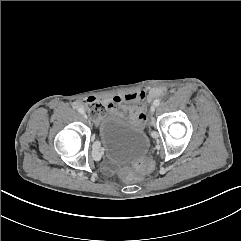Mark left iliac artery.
Returning a JSON list of instances; mask_svg holds the SVG:
<instances>
[{"mask_svg":"<svg viewBox=\"0 0 241 241\" xmlns=\"http://www.w3.org/2000/svg\"><path fill=\"white\" fill-rule=\"evenodd\" d=\"M153 104H154V106H159L160 100L159 99H155Z\"/></svg>","mask_w":241,"mask_h":241,"instance_id":"1","label":"left iliac artery"}]
</instances>
